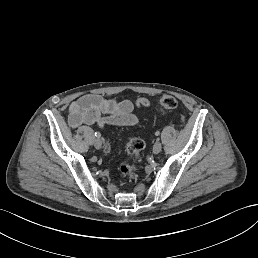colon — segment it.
Instances as JSON below:
<instances>
[{
	"label": "colon",
	"mask_w": 258,
	"mask_h": 258,
	"mask_svg": "<svg viewBox=\"0 0 258 258\" xmlns=\"http://www.w3.org/2000/svg\"><path fill=\"white\" fill-rule=\"evenodd\" d=\"M177 106V101L174 97L170 95H163L157 104V110L161 114H166L169 111L175 109ZM144 147V142L139 137H133L130 139L126 146L127 152L133 156L137 157L140 151ZM104 152H110V145L108 143L104 146ZM140 171V168L134 162L125 163L120 166V173L125 177H135Z\"/></svg>",
	"instance_id": "1"
}]
</instances>
